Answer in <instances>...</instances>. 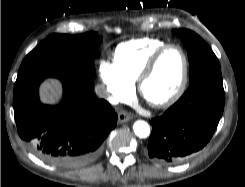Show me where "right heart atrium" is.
I'll list each match as a JSON object with an SVG mask.
<instances>
[{"mask_svg": "<svg viewBox=\"0 0 245 187\" xmlns=\"http://www.w3.org/2000/svg\"><path fill=\"white\" fill-rule=\"evenodd\" d=\"M98 70L104 87V97L109 102H122L131 96L134 89L133 84L121 75L114 62L100 59Z\"/></svg>", "mask_w": 245, "mask_h": 187, "instance_id": "obj_1", "label": "right heart atrium"}]
</instances>
